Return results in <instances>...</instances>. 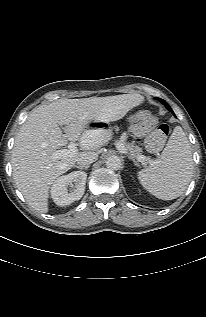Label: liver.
<instances>
[{
  "mask_svg": "<svg viewBox=\"0 0 206 317\" xmlns=\"http://www.w3.org/2000/svg\"><path fill=\"white\" fill-rule=\"evenodd\" d=\"M143 101V96L133 93L60 99L33 109L15 138L11 158L13 178L28 204L37 212H48L49 189L53 182L70 170L82 153L102 144V137L84 136L89 123L120 120ZM60 125L65 126L63 131ZM84 138L93 141L92 145H83ZM77 140H81L84 152L63 159L51 158V154L68 141Z\"/></svg>",
  "mask_w": 206,
  "mask_h": 317,
  "instance_id": "1",
  "label": "liver"
}]
</instances>
